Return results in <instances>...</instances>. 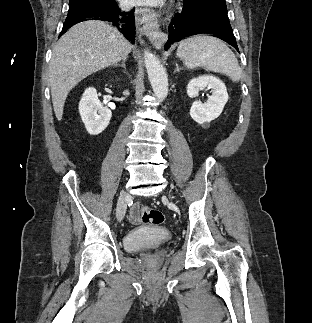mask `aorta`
Returning a JSON list of instances; mask_svg holds the SVG:
<instances>
[{"instance_id": "obj_1", "label": "aorta", "mask_w": 312, "mask_h": 323, "mask_svg": "<svg viewBox=\"0 0 312 323\" xmlns=\"http://www.w3.org/2000/svg\"><path fill=\"white\" fill-rule=\"evenodd\" d=\"M144 64L155 96L164 100L168 94V80L162 64L150 52H144Z\"/></svg>"}]
</instances>
